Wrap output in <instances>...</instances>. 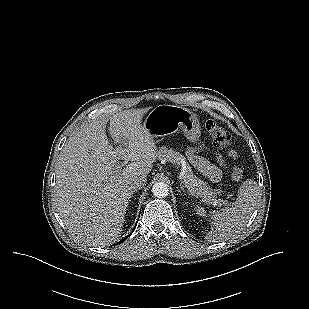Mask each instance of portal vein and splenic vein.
<instances>
[{
    "label": "portal vein and splenic vein",
    "instance_id": "1",
    "mask_svg": "<svg viewBox=\"0 0 309 309\" xmlns=\"http://www.w3.org/2000/svg\"><path fill=\"white\" fill-rule=\"evenodd\" d=\"M125 163H127V162L125 161V162L122 164V166H123ZM122 166H118V167H117V171H120L121 168H122ZM183 183L185 184V187H186L187 189H189L190 193L193 195V194H194V191H192V190L189 188V186L186 184L185 181H183ZM220 202H222V201H216V202L214 203V206H217Z\"/></svg>",
    "mask_w": 309,
    "mask_h": 309
}]
</instances>
